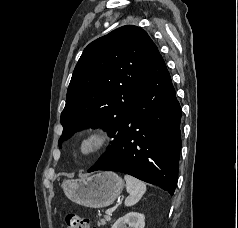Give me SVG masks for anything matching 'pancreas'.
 I'll return each instance as SVG.
<instances>
[{"label": "pancreas", "instance_id": "1", "mask_svg": "<svg viewBox=\"0 0 238 228\" xmlns=\"http://www.w3.org/2000/svg\"><path fill=\"white\" fill-rule=\"evenodd\" d=\"M111 220V216L110 215H105L103 219H100L97 224L98 226L100 225H105L107 222H109Z\"/></svg>", "mask_w": 238, "mask_h": 228}]
</instances>
